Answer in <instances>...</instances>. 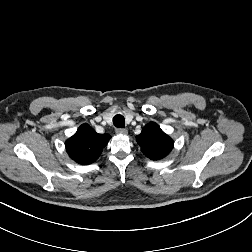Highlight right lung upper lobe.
Instances as JSON below:
<instances>
[{
	"instance_id": "obj_1",
	"label": "right lung upper lobe",
	"mask_w": 252,
	"mask_h": 252,
	"mask_svg": "<svg viewBox=\"0 0 252 252\" xmlns=\"http://www.w3.org/2000/svg\"><path fill=\"white\" fill-rule=\"evenodd\" d=\"M110 138L109 134H98L88 124H82L66 141L65 146L67 153L75 162L87 165L99 158Z\"/></svg>"
}]
</instances>
